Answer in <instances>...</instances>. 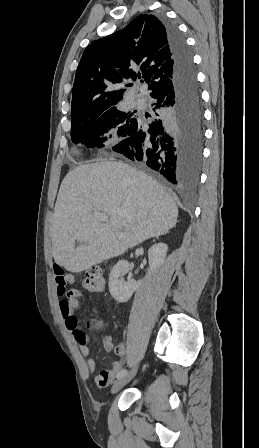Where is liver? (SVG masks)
Listing matches in <instances>:
<instances>
[{"label": "liver", "mask_w": 259, "mask_h": 448, "mask_svg": "<svg viewBox=\"0 0 259 448\" xmlns=\"http://www.w3.org/2000/svg\"><path fill=\"white\" fill-rule=\"evenodd\" d=\"M93 212L108 214L101 222ZM178 208L158 182L124 162L77 166L65 176L50 226L52 256L84 272L174 228ZM75 242L84 246L75 248Z\"/></svg>", "instance_id": "obj_1"}]
</instances>
